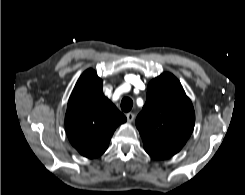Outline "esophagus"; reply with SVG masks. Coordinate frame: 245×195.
<instances>
[{
    "instance_id": "1",
    "label": "esophagus",
    "mask_w": 245,
    "mask_h": 195,
    "mask_svg": "<svg viewBox=\"0 0 245 195\" xmlns=\"http://www.w3.org/2000/svg\"><path fill=\"white\" fill-rule=\"evenodd\" d=\"M126 117H127L128 122H132L135 118V115L130 112L126 114Z\"/></svg>"
}]
</instances>
